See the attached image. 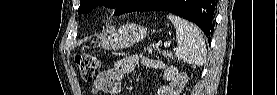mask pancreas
<instances>
[{
	"instance_id": "pancreas-1",
	"label": "pancreas",
	"mask_w": 277,
	"mask_h": 95,
	"mask_svg": "<svg viewBox=\"0 0 277 95\" xmlns=\"http://www.w3.org/2000/svg\"><path fill=\"white\" fill-rule=\"evenodd\" d=\"M152 50H153L152 46H147V48H145V51H147L149 54L152 53ZM158 52L160 54H162L163 56H165L166 58L167 57L168 58H173V56L171 54H168V52H166V51H160V50H158Z\"/></svg>"
}]
</instances>
